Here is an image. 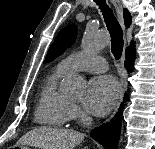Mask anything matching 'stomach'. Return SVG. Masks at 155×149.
Segmentation results:
<instances>
[{"label": "stomach", "instance_id": "0dacf381", "mask_svg": "<svg viewBox=\"0 0 155 149\" xmlns=\"http://www.w3.org/2000/svg\"><path fill=\"white\" fill-rule=\"evenodd\" d=\"M15 147L19 149H31L29 145H25V144L16 145Z\"/></svg>", "mask_w": 155, "mask_h": 149}]
</instances>
